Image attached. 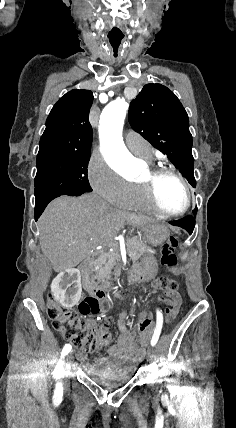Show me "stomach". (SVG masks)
<instances>
[{"label": "stomach", "mask_w": 236, "mask_h": 428, "mask_svg": "<svg viewBox=\"0 0 236 428\" xmlns=\"http://www.w3.org/2000/svg\"><path fill=\"white\" fill-rule=\"evenodd\" d=\"M144 242L150 246H160L170 236V232L164 222H153L143 228ZM157 258L155 256H143L139 263L131 264V274L125 275V282L132 287H139L142 283H152L157 275Z\"/></svg>", "instance_id": "stomach-1"}]
</instances>
